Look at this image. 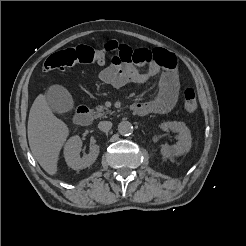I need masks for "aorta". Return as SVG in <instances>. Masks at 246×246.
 <instances>
[{
    "label": "aorta",
    "mask_w": 246,
    "mask_h": 246,
    "mask_svg": "<svg viewBox=\"0 0 246 246\" xmlns=\"http://www.w3.org/2000/svg\"><path fill=\"white\" fill-rule=\"evenodd\" d=\"M118 132L124 136L131 135L133 133V126L129 121H122L118 125Z\"/></svg>",
    "instance_id": "1"
}]
</instances>
